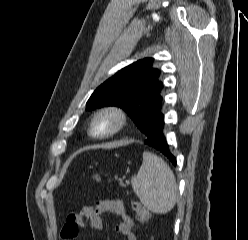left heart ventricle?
<instances>
[{"label": "left heart ventricle", "instance_id": "b2bd125f", "mask_svg": "<svg viewBox=\"0 0 248 240\" xmlns=\"http://www.w3.org/2000/svg\"><path fill=\"white\" fill-rule=\"evenodd\" d=\"M116 124V120L112 115L104 114L97 118L95 122V132L104 133L111 130Z\"/></svg>", "mask_w": 248, "mask_h": 240}]
</instances>
